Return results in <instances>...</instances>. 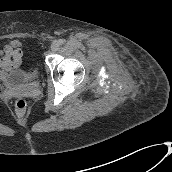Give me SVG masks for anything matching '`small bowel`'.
<instances>
[{
	"mask_svg": "<svg viewBox=\"0 0 172 172\" xmlns=\"http://www.w3.org/2000/svg\"><path fill=\"white\" fill-rule=\"evenodd\" d=\"M22 51L17 42H10L0 49V72H12L20 64Z\"/></svg>",
	"mask_w": 172,
	"mask_h": 172,
	"instance_id": "obj_1",
	"label": "small bowel"
}]
</instances>
